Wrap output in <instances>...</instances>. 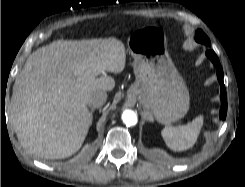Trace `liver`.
<instances>
[{"label":"liver","mask_w":245,"mask_h":187,"mask_svg":"<svg viewBox=\"0 0 245 187\" xmlns=\"http://www.w3.org/2000/svg\"><path fill=\"white\" fill-rule=\"evenodd\" d=\"M125 63V46L116 38L58 40L34 51L15 80L9 108L21 145L45 159L76 153L92 124L89 95L111 91L114 79L102 74L120 73Z\"/></svg>","instance_id":"liver-1"}]
</instances>
